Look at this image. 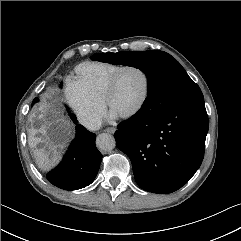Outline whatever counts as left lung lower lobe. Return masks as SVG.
Here are the masks:
<instances>
[{
    "mask_svg": "<svg viewBox=\"0 0 241 241\" xmlns=\"http://www.w3.org/2000/svg\"><path fill=\"white\" fill-rule=\"evenodd\" d=\"M208 126L204 100L169 105L157 89L134 116L117 126L116 146L131 159L142 189L172 193L200 167Z\"/></svg>",
    "mask_w": 241,
    "mask_h": 241,
    "instance_id": "obj_1",
    "label": "left lung lower lobe"
}]
</instances>
